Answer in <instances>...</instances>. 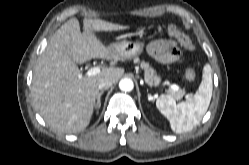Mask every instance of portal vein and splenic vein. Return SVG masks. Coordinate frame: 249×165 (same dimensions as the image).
Here are the masks:
<instances>
[{"label":"portal vein and splenic vein","mask_w":249,"mask_h":165,"mask_svg":"<svg viewBox=\"0 0 249 165\" xmlns=\"http://www.w3.org/2000/svg\"><path fill=\"white\" fill-rule=\"evenodd\" d=\"M100 72H101L100 67H98V66L97 67H92L87 71L86 76H95V75L99 74ZM169 88L171 90H173V91H178L179 90V87L177 85H175V84L170 85Z\"/></svg>","instance_id":"obj_1"}]
</instances>
